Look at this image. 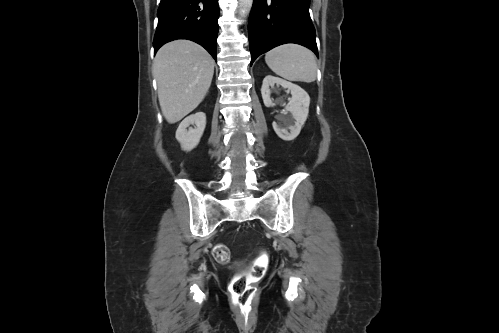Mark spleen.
Listing matches in <instances>:
<instances>
[{
  "mask_svg": "<svg viewBox=\"0 0 499 333\" xmlns=\"http://www.w3.org/2000/svg\"><path fill=\"white\" fill-rule=\"evenodd\" d=\"M265 62L275 74L290 81L310 83L317 77L314 54L300 45L278 46L266 53Z\"/></svg>",
  "mask_w": 499,
  "mask_h": 333,
  "instance_id": "obj_1",
  "label": "spleen"
}]
</instances>
